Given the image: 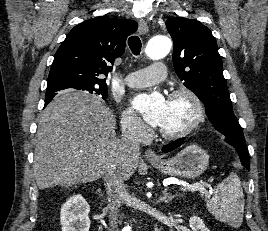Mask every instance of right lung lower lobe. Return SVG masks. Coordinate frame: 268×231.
Returning a JSON list of instances; mask_svg holds the SVG:
<instances>
[{
	"mask_svg": "<svg viewBox=\"0 0 268 231\" xmlns=\"http://www.w3.org/2000/svg\"><path fill=\"white\" fill-rule=\"evenodd\" d=\"M55 95H56V94H55ZM55 95H54V96H55ZM48 103H49V102H48ZM48 103H45V106H46Z\"/></svg>",
	"mask_w": 268,
	"mask_h": 231,
	"instance_id": "98d812e1",
	"label": "right lung lower lobe"
}]
</instances>
